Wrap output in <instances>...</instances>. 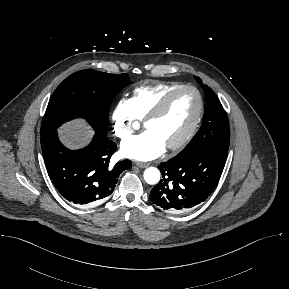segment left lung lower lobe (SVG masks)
<instances>
[{
  "instance_id": "left-lung-lower-lobe-1",
  "label": "left lung lower lobe",
  "mask_w": 289,
  "mask_h": 289,
  "mask_svg": "<svg viewBox=\"0 0 289 289\" xmlns=\"http://www.w3.org/2000/svg\"><path fill=\"white\" fill-rule=\"evenodd\" d=\"M228 149L208 147L182 158L173 157L158 166L162 179L150 192V200L163 210L180 213L205 201L216 187Z\"/></svg>"
}]
</instances>
